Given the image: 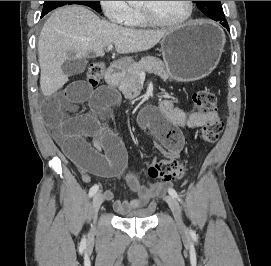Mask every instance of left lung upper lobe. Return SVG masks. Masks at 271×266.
<instances>
[{
    "label": "left lung upper lobe",
    "mask_w": 271,
    "mask_h": 266,
    "mask_svg": "<svg viewBox=\"0 0 271 266\" xmlns=\"http://www.w3.org/2000/svg\"><path fill=\"white\" fill-rule=\"evenodd\" d=\"M198 8L215 21H224L225 16L220 1H194Z\"/></svg>",
    "instance_id": "left-lung-upper-lobe-1"
}]
</instances>
